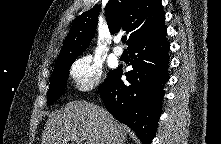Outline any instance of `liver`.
Returning <instances> with one entry per match:
<instances>
[{"label": "liver", "instance_id": "1", "mask_svg": "<svg viewBox=\"0 0 221 144\" xmlns=\"http://www.w3.org/2000/svg\"><path fill=\"white\" fill-rule=\"evenodd\" d=\"M128 128L104 108L86 101H71L62 113L46 122L42 144H67L73 137L85 144H125Z\"/></svg>", "mask_w": 221, "mask_h": 144}]
</instances>
